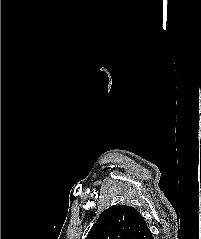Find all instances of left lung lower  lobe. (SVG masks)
<instances>
[{
    "label": "left lung lower lobe",
    "mask_w": 201,
    "mask_h": 239,
    "mask_svg": "<svg viewBox=\"0 0 201 239\" xmlns=\"http://www.w3.org/2000/svg\"><path fill=\"white\" fill-rule=\"evenodd\" d=\"M148 239H153V238H152V234H151V233H150V235H149Z\"/></svg>",
    "instance_id": "left-lung-lower-lobe-1"
}]
</instances>
